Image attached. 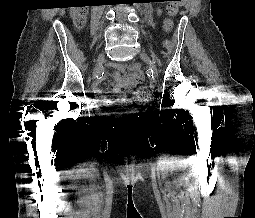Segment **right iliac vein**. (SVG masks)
I'll return each instance as SVG.
<instances>
[{"instance_id": "obj_1", "label": "right iliac vein", "mask_w": 255, "mask_h": 218, "mask_svg": "<svg viewBox=\"0 0 255 218\" xmlns=\"http://www.w3.org/2000/svg\"><path fill=\"white\" fill-rule=\"evenodd\" d=\"M104 57H105L104 54H100L99 57H98L97 63H96V65H95L94 71H93V77H94V78H95V77L99 74V72H100L101 65H102V63H103V61H104Z\"/></svg>"}]
</instances>
